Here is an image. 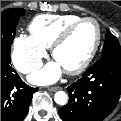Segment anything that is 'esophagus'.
<instances>
[{
	"label": "esophagus",
	"instance_id": "obj_1",
	"mask_svg": "<svg viewBox=\"0 0 121 121\" xmlns=\"http://www.w3.org/2000/svg\"><path fill=\"white\" fill-rule=\"evenodd\" d=\"M49 91H51V92H55V91H57V90H59L60 89V87H48L47 88Z\"/></svg>",
	"mask_w": 121,
	"mask_h": 121
}]
</instances>
